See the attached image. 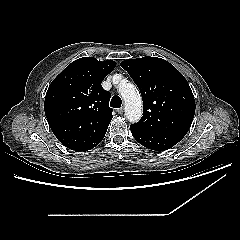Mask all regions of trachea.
I'll return each mask as SVG.
<instances>
[{"instance_id":"3493384b","label":"trachea","mask_w":240,"mask_h":240,"mask_svg":"<svg viewBox=\"0 0 240 240\" xmlns=\"http://www.w3.org/2000/svg\"><path fill=\"white\" fill-rule=\"evenodd\" d=\"M122 105V100L119 96H113V98L110 101V106L112 108H120Z\"/></svg>"}]
</instances>
